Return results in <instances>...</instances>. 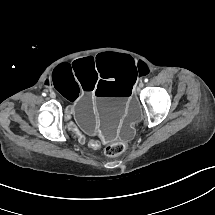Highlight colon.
I'll return each instance as SVG.
<instances>
[{
    "label": "colon",
    "instance_id": "colon-1",
    "mask_svg": "<svg viewBox=\"0 0 215 215\" xmlns=\"http://www.w3.org/2000/svg\"><path fill=\"white\" fill-rule=\"evenodd\" d=\"M124 149H125L124 144L114 143V144L108 145L105 148V154L109 157L115 156V155L121 154L124 151Z\"/></svg>",
    "mask_w": 215,
    "mask_h": 215
}]
</instances>
